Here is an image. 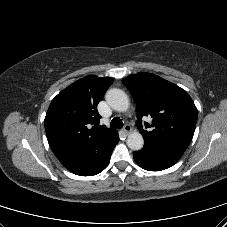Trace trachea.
<instances>
[{"label": "trachea", "mask_w": 227, "mask_h": 227, "mask_svg": "<svg viewBox=\"0 0 227 227\" xmlns=\"http://www.w3.org/2000/svg\"><path fill=\"white\" fill-rule=\"evenodd\" d=\"M110 127L114 129H121L123 127V122L119 117H115L112 119Z\"/></svg>", "instance_id": "obj_1"}]
</instances>
